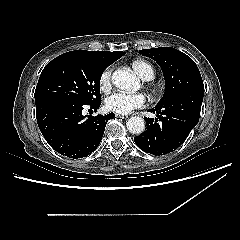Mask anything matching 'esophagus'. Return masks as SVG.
<instances>
[{"mask_svg":"<svg viewBox=\"0 0 240 240\" xmlns=\"http://www.w3.org/2000/svg\"><path fill=\"white\" fill-rule=\"evenodd\" d=\"M115 116L117 117V118H128V116L127 115H122V114H115Z\"/></svg>","mask_w":240,"mask_h":240,"instance_id":"esophagus-1","label":"esophagus"}]
</instances>
